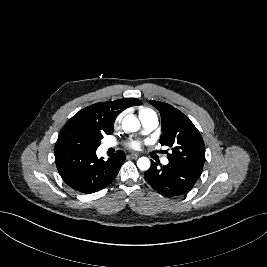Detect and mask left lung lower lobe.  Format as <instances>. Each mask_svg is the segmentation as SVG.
Returning a JSON list of instances; mask_svg holds the SVG:
<instances>
[{
  "label": "left lung lower lobe",
  "instance_id": "1",
  "mask_svg": "<svg viewBox=\"0 0 267 267\" xmlns=\"http://www.w3.org/2000/svg\"><path fill=\"white\" fill-rule=\"evenodd\" d=\"M202 170L184 164L169 162L159 167L151 161V167L145 172V179L159 194L175 197L190 191L199 179Z\"/></svg>",
  "mask_w": 267,
  "mask_h": 267
}]
</instances>
